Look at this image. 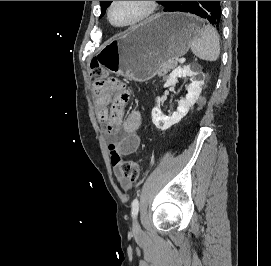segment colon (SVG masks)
<instances>
[{
  "instance_id": "5ec220e1",
  "label": "colon",
  "mask_w": 271,
  "mask_h": 266,
  "mask_svg": "<svg viewBox=\"0 0 271 266\" xmlns=\"http://www.w3.org/2000/svg\"><path fill=\"white\" fill-rule=\"evenodd\" d=\"M90 79L94 87L101 91H112L124 99L130 96V92L123 82L114 78H108L107 72L97 64L91 65ZM109 149L112 164L118 169L120 176L130 181H136L140 174L139 164L134 160L123 157L118 151V145L116 143L110 144Z\"/></svg>"
}]
</instances>
